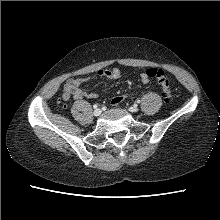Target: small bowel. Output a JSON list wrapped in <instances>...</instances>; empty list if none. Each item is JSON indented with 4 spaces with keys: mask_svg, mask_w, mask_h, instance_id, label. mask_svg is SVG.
Returning a JSON list of instances; mask_svg holds the SVG:
<instances>
[{
    "mask_svg": "<svg viewBox=\"0 0 220 220\" xmlns=\"http://www.w3.org/2000/svg\"><path fill=\"white\" fill-rule=\"evenodd\" d=\"M96 76L115 80V79L120 78L121 72L118 68L106 69V70L98 71ZM141 79L143 83H148L149 81V78L145 75V73L141 75ZM90 80H91L90 77L70 78L66 82L65 88L68 91L72 92L76 99H81L83 97L96 98L97 94L95 92L85 91L84 89H82V85L87 83ZM124 99H125V96L117 95L112 99V104L118 105L121 102H123Z\"/></svg>",
    "mask_w": 220,
    "mask_h": 220,
    "instance_id": "small-bowel-1",
    "label": "small bowel"
}]
</instances>
